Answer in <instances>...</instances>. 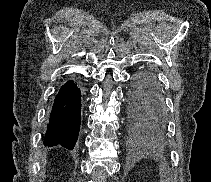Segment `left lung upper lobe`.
Returning a JSON list of instances; mask_svg holds the SVG:
<instances>
[{"label": "left lung upper lobe", "instance_id": "1", "mask_svg": "<svg viewBox=\"0 0 211 182\" xmlns=\"http://www.w3.org/2000/svg\"><path fill=\"white\" fill-rule=\"evenodd\" d=\"M130 110H131L132 118H133L138 124H140L141 126H143L144 128H146V130H147L149 133H152L151 129H150L147 125H145L143 122H141V121L137 118L135 109L131 107Z\"/></svg>", "mask_w": 211, "mask_h": 182}]
</instances>
